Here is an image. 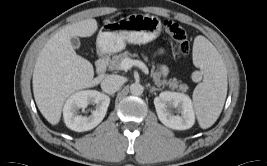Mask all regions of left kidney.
<instances>
[{"label":"left kidney","mask_w":267,"mask_h":166,"mask_svg":"<svg viewBox=\"0 0 267 166\" xmlns=\"http://www.w3.org/2000/svg\"><path fill=\"white\" fill-rule=\"evenodd\" d=\"M154 105L159 120L165 126L174 130H186L194 125L195 114L189 96L182 93L164 91L155 97ZM172 109H177L181 115H174Z\"/></svg>","instance_id":"1"}]
</instances>
